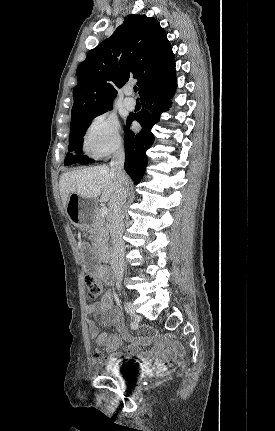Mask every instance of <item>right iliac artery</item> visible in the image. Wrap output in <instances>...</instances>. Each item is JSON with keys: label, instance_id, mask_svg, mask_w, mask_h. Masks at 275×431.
I'll return each mask as SVG.
<instances>
[{"label": "right iliac artery", "instance_id": "right-iliac-artery-1", "mask_svg": "<svg viewBox=\"0 0 275 431\" xmlns=\"http://www.w3.org/2000/svg\"><path fill=\"white\" fill-rule=\"evenodd\" d=\"M130 325L132 329H137L138 327V324L136 322H132Z\"/></svg>", "mask_w": 275, "mask_h": 431}]
</instances>
